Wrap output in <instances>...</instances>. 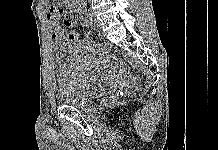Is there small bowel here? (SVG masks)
Returning <instances> with one entry per match:
<instances>
[{"label":"small bowel","mask_w":218,"mask_h":150,"mask_svg":"<svg viewBox=\"0 0 218 150\" xmlns=\"http://www.w3.org/2000/svg\"><path fill=\"white\" fill-rule=\"evenodd\" d=\"M61 5H65L71 9L76 16L77 13L82 11L80 0H62ZM64 12L61 6H51L46 14V20L53 39L66 38V31L61 28L59 21L60 15Z\"/></svg>","instance_id":"1"}]
</instances>
